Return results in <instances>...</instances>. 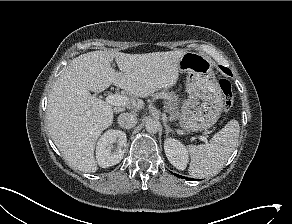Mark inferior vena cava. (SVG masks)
<instances>
[{
    "mask_svg": "<svg viewBox=\"0 0 292 224\" xmlns=\"http://www.w3.org/2000/svg\"><path fill=\"white\" fill-rule=\"evenodd\" d=\"M118 124L123 129H131L137 124V118L131 113H122L118 117Z\"/></svg>",
    "mask_w": 292,
    "mask_h": 224,
    "instance_id": "obj_1",
    "label": "inferior vena cava"
}]
</instances>
